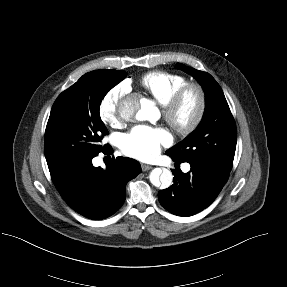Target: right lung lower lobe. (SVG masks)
<instances>
[{
    "instance_id": "98d812e1",
    "label": "right lung lower lobe",
    "mask_w": 287,
    "mask_h": 287,
    "mask_svg": "<svg viewBox=\"0 0 287 287\" xmlns=\"http://www.w3.org/2000/svg\"><path fill=\"white\" fill-rule=\"evenodd\" d=\"M103 153H112L107 145ZM98 155V154H97ZM92 155L50 171L52 181L65 202L76 212L93 220L107 218L124 203L125 186L141 172L139 162L117 157L106 169L94 167Z\"/></svg>"
}]
</instances>
